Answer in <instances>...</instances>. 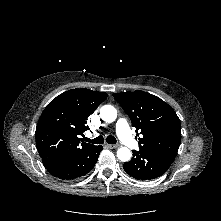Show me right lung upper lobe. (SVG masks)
Instances as JSON below:
<instances>
[{"label": "right lung upper lobe", "mask_w": 221, "mask_h": 221, "mask_svg": "<svg viewBox=\"0 0 221 221\" xmlns=\"http://www.w3.org/2000/svg\"><path fill=\"white\" fill-rule=\"evenodd\" d=\"M108 94L86 88L72 89L54 98L37 123L36 146L44 166L60 157L92 146L80 141L86 120Z\"/></svg>", "instance_id": "cb5924a9"}]
</instances>
